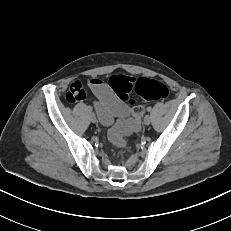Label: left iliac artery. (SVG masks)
<instances>
[{
  "mask_svg": "<svg viewBox=\"0 0 231 231\" xmlns=\"http://www.w3.org/2000/svg\"><path fill=\"white\" fill-rule=\"evenodd\" d=\"M151 110H152V108H151V107H148V108H147V111H148V112H150Z\"/></svg>",
  "mask_w": 231,
  "mask_h": 231,
  "instance_id": "1",
  "label": "left iliac artery"
}]
</instances>
